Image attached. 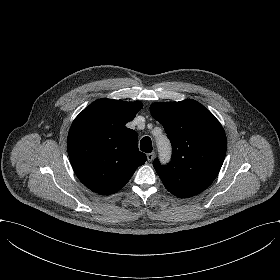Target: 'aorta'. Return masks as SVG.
Returning a JSON list of instances; mask_svg holds the SVG:
<instances>
[{
	"label": "aorta",
	"instance_id": "aorta-1",
	"mask_svg": "<svg viewBox=\"0 0 280 280\" xmlns=\"http://www.w3.org/2000/svg\"><path fill=\"white\" fill-rule=\"evenodd\" d=\"M161 159L167 161L170 158V145L167 141L163 140L159 143Z\"/></svg>",
	"mask_w": 280,
	"mask_h": 280
}]
</instances>
